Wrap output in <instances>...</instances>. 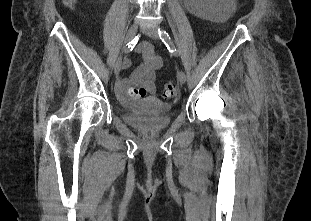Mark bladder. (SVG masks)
<instances>
[{
	"mask_svg": "<svg viewBox=\"0 0 311 221\" xmlns=\"http://www.w3.org/2000/svg\"><path fill=\"white\" fill-rule=\"evenodd\" d=\"M127 115L123 121L143 135H153L170 127L168 116L172 106L162 100L148 96L137 102L123 104Z\"/></svg>",
	"mask_w": 311,
	"mask_h": 221,
	"instance_id": "obj_1",
	"label": "bladder"
}]
</instances>
